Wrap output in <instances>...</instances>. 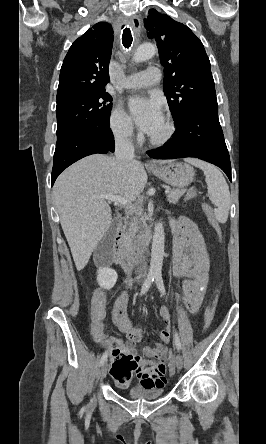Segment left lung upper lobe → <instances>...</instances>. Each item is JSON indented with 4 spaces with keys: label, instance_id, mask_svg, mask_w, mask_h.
Listing matches in <instances>:
<instances>
[{
    "label": "left lung upper lobe",
    "instance_id": "obj_1",
    "mask_svg": "<svg viewBox=\"0 0 266 444\" xmlns=\"http://www.w3.org/2000/svg\"><path fill=\"white\" fill-rule=\"evenodd\" d=\"M149 38H155L164 66V94L173 120L188 111L217 105L210 61L202 42L185 25L155 9L144 20Z\"/></svg>",
    "mask_w": 266,
    "mask_h": 444
}]
</instances>
